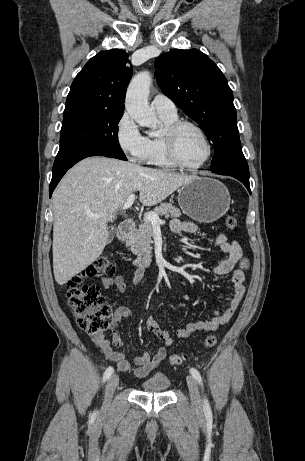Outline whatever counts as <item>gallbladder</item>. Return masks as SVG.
I'll return each mask as SVG.
<instances>
[{"instance_id":"obj_1","label":"gallbladder","mask_w":305,"mask_h":461,"mask_svg":"<svg viewBox=\"0 0 305 461\" xmlns=\"http://www.w3.org/2000/svg\"><path fill=\"white\" fill-rule=\"evenodd\" d=\"M114 236H115V229L111 228V230L109 231V236H108V239H107V243H110L113 240Z\"/></svg>"}]
</instances>
